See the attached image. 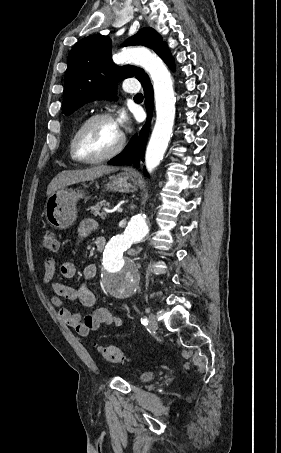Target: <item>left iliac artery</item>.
<instances>
[{
    "label": "left iliac artery",
    "instance_id": "left-iliac-artery-1",
    "mask_svg": "<svg viewBox=\"0 0 281 453\" xmlns=\"http://www.w3.org/2000/svg\"><path fill=\"white\" fill-rule=\"evenodd\" d=\"M141 323L144 324V325H147L148 324L147 318L146 319H141Z\"/></svg>",
    "mask_w": 281,
    "mask_h": 453
}]
</instances>
